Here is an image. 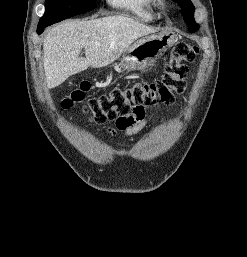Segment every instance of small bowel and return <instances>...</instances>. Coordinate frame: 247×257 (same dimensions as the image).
<instances>
[{
    "instance_id": "small-bowel-1",
    "label": "small bowel",
    "mask_w": 247,
    "mask_h": 257,
    "mask_svg": "<svg viewBox=\"0 0 247 257\" xmlns=\"http://www.w3.org/2000/svg\"><path fill=\"white\" fill-rule=\"evenodd\" d=\"M147 124V116L145 109L134 111L129 117V123L127 125H118L115 123V127L111 129V133L115 135L118 131L124 133L126 136H131L138 133Z\"/></svg>"
}]
</instances>
